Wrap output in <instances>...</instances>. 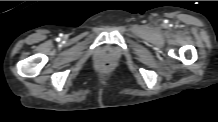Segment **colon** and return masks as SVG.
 <instances>
[{"label":"colon","mask_w":218,"mask_h":122,"mask_svg":"<svg viewBox=\"0 0 218 122\" xmlns=\"http://www.w3.org/2000/svg\"><path fill=\"white\" fill-rule=\"evenodd\" d=\"M108 66H109V63H105V64H104V67H108Z\"/></svg>","instance_id":"1"}]
</instances>
